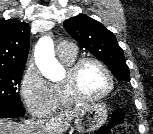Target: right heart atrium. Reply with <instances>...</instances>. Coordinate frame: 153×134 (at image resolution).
<instances>
[{"label": "right heart atrium", "mask_w": 153, "mask_h": 134, "mask_svg": "<svg viewBox=\"0 0 153 134\" xmlns=\"http://www.w3.org/2000/svg\"><path fill=\"white\" fill-rule=\"evenodd\" d=\"M20 93L27 111L34 117H45L54 108L52 84L46 81L34 65L26 68Z\"/></svg>", "instance_id": "obj_1"}]
</instances>
